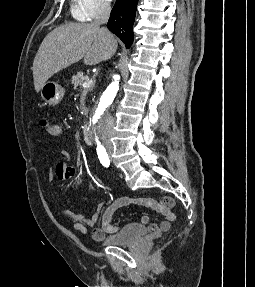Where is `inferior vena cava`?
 Instances as JSON below:
<instances>
[{
  "mask_svg": "<svg viewBox=\"0 0 255 287\" xmlns=\"http://www.w3.org/2000/svg\"><path fill=\"white\" fill-rule=\"evenodd\" d=\"M110 12H111L110 4H108V2H105V0H101L98 6V10L96 12L94 24H99V26L100 24H107ZM101 30H107V28H101ZM112 126H113V116H109L108 126H106L104 130H102L101 134L102 144L105 145V147H112V144L110 142L111 138L110 132Z\"/></svg>",
  "mask_w": 255,
  "mask_h": 287,
  "instance_id": "inferior-vena-cava-1",
  "label": "inferior vena cava"
}]
</instances>
